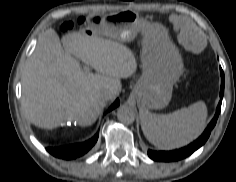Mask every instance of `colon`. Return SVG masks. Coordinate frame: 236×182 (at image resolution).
<instances>
[{"instance_id":"obj_1","label":"colon","mask_w":236,"mask_h":182,"mask_svg":"<svg viewBox=\"0 0 236 182\" xmlns=\"http://www.w3.org/2000/svg\"><path fill=\"white\" fill-rule=\"evenodd\" d=\"M91 21L93 23H98L100 21V19L99 18H93ZM86 23H87V19L84 18V17H80L75 22L68 21V22L63 23L62 30L63 31H69V30L73 29L75 25L83 26Z\"/></svg>"}]
</instances>
